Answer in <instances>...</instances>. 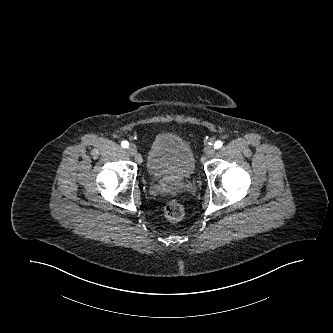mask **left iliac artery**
<instances>
[{
	"label": "left iliac artery",
	"instance_id": "44dca946",
	"mask_svg": "<svg viewBox=\"0 0 333 333\" xmlns=\"http://www.w3.org/2000/svg\"><path fill=\"white\" fill-rule=\"evenodd\" d=\"M222 145H223V142L220 141V140H218V141H216V142L214 143V148H215V149H219V148L222 147Z\"/></svg>",
	"mask_w": 333,
	"mask_h": 333
}]
</instances>
